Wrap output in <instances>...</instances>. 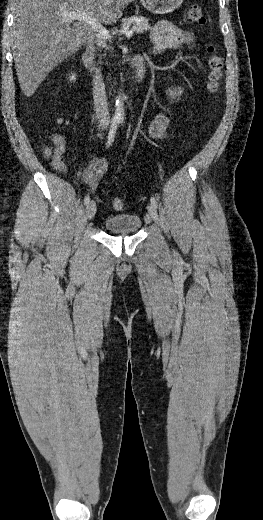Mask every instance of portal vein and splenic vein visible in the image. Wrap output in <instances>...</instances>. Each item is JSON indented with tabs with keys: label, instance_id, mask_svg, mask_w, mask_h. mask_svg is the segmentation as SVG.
<instances>
[{
	"label": "portal vein and splenic vein",
	"instance_id": "1",
	"mask_svg": "<svg viewBox=\"0 0 263 520\" xmlns=\"http://www.w3.org/2000/svg\"><path fill=\"white\" fill-rule=\"evenodd\" d=\"M62 17L68 20H80L88 23L93 30L97 31L99 35H101L103 38L109 39L111 38V35L109 34V31L103 27L101 23L96 21V19L88 16L86 13L83 12H69V13H63ZM125 35L127 38L131 37L133 35V30H126Z\"/></svg>",
	"mask_w": 263,
	"mask_h": 520
}]
</instances>
